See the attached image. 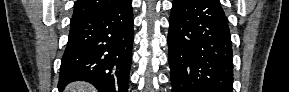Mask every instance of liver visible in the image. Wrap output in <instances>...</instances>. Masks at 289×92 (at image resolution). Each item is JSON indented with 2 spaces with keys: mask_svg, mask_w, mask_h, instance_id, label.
<instances>
[{
  "mask_svg": "<svg viewBox=\"0 0 289 92\" xmlns=\"http://www.w3.org/2000/svg\"><path fill=\"white\" fill-rule=\"evenodd\" d=\"M67 92H94V88L85 82H73L66 89Z\"/></svg>",
  "mask_w": 289,
  "mask_h": 92,
  "instance_id": "6515ba94",
  "label": "liver"
}]
</instances>
